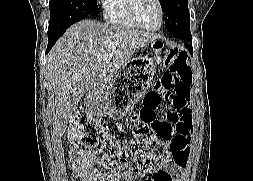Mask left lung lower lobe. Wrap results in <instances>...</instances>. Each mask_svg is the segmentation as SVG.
Returning a JSON list of instances; mask_svg holds the SVG:
<instances>
[{
  "label": "left lung lower lobe",
  "instance_id": "obj_1",
  "mask_svg": "<svg viewBox=\"0 0 253 181\" xmlns=\"http://www.w3.org/2000/svg\"><path fill=\"white\" fill-rule=\"evenodd\" d=\"M184 40V39H183ZM187 41V40H185ZM186 46L188 47L189 51H190V54L192 55L193 54V49H192V46L189 45V44H186Z\"/></svg>",
  "mask_w": 253,
  "mask_h": 181
}]
</instances>
